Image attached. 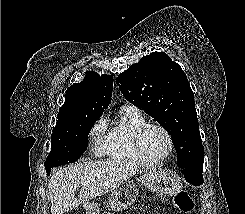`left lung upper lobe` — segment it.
I'll return each mask as SVG.
<instances>
[{
    "label": "left lung upper lobe",
    "mask_w": 245,
    "mask_h": 214,
    "mask_svg": "<svg viewBox=\"0 0 245 214\" xmlns=\"http://www.w3.org/2000/svg\"><path fill=\"white\" fill-rule=\"evenodd\" d=\"M116 83L129 102L142 108L171 135L180 168L203 164L194 94L176 62L164 52H153L119 74Z\"/></svg>",
    "instance_id": "obj_1"
}]
</instances>
